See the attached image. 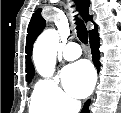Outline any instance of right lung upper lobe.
<instances>
[{
    "label": "right lung upper lobe",
    "instance_id": "cb5924a9",
    "mask_svg": "<svg viewBox=\"0 0 121 113\" xmlns=\"http://www.w3.org/2000/svg\"><path fill=\"white\" fill-rule=\"evenodd\" d=\"M78 10L81 13L82 18L85 22L92 21V16H89V6L90 1L89 0H76L75 1ZM93 22V21H92ZM94 23V22H93ZM95 28L93 30L89 31V35L97 31V25L94 23ZM46 26L45 20L41 16V9H38L35 11V13L32 15L31 21L28 26V34H27V40H26V50L27 53V60H26V67H27V78L34 76V67L30 60V56L32 54V48L33 44L37 38V36L43 31V29Z\"/></svg>",
    "mask_w": 121,
    "mask_h": 113
}]
</instances>
